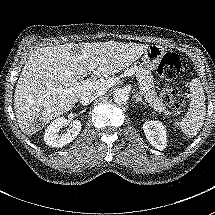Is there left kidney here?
<instances>
[{
	"instance_id": "5707ae66",
	"label": "left kidney",
	"mask_w": 215,
	"mask_h": 215,
	"mask_svg": "<svg viewBox=\"0 0 215 215\" xmlns=\"http://www.w3.org/2000/svg\"><path fill=\"white\" fill-rule=\"evenodd\" d=\"M142 128L147 140L155 149L162 151L166 148V129L160 121H146Z\"/></svg>"
}]
</instances>
